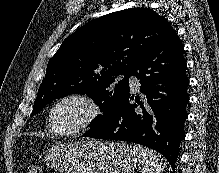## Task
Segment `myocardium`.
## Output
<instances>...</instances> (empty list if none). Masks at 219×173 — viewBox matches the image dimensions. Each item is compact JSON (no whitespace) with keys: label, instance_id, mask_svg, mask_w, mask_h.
I'll use <instances>...</instances> for the list:
<instances>
[{"label":"myocardium","instance_id":"obj_1","mask_svg":"<svg viewBox=\"0 0 219 173\" xmlns=\"http://www.w3.org/2000/svg\"><path fill=\"white\" fill-rule=\"evenodd\" d=\"M67 101H75L81 104L84 107L85 112L80 122L74 128L67 131H60L57 129L54 121V112L59 105ZM101 114L102 109L95 99L84 93L72 92L57 98L53 102L49 109L48 121L50 129L55 135L60 137H71L85 132L92 127L99 119Z\"/></svg>","mask_w":219,"mask_h":173}]
</instances>
